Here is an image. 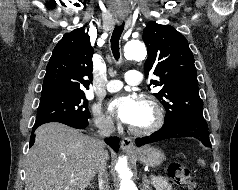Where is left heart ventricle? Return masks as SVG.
Wrapping results in <instances>:
<instances>
[{
	"label": "left heart ventricle",
	"instance_id": "obj_1",
	"mask_svg": "<svg viewBox=\"0 0 238 190\" xmlns=\"http://www.w3.org/2000/svg\"><path fill=\"white\" fill-rule=\"evenodd\" d=\"M152 118L153 116L150 108L139 102L136 117L131 125L135 127H145L151 123Z\"/></svg>",
	"mask_w": 238,
	"mask_h": 190
}]
</instances>
